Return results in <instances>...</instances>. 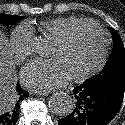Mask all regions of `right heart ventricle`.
<instances>
[{"instance_id":"right-heart-ventricle-1","label":"right heart ventricle","mask_w":125,"mask_h":125,"mask_svg":"<svg viewBox=\"0 0 125 125\" xmlns=\"http://www.w3.org/2000/svg\"><path fill=\"white\" fill-rule=\"evenodd\" d=\"M84 20L86 19L76 16L58 17L41 22L40 28L45 37L55 40L70 26Z\"/></svg>"}]
</instances>
